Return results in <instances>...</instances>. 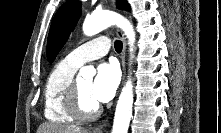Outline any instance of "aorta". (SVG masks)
I'll return each mask as SVG.
<instances>
[{
	"instance_id": "aorta-1",
	"label": "aorta",
	"mask_w": 221,
	"mask_h": 133,
	"mask_svg": "<svg viewBox=\"0 0 221 133\" xmlns=\"http://www.w3.org/2000/svg\"><path fill=\"white\" fill-rule=\"evenodd\" d=\"M112 25H117L124 31L129 41L130 52L132 53L135 42L133 26L126 18L115 12L103 11L86 17L83 23V32L86 36H93ZM94 74L95 70L91 67H83L80 70V75L82 76H93ZM132 107L133 85L131 79L128 77V81L122 88L118 98L112 133H127L132 117Z\"/></svg>"
}]
</instances>
